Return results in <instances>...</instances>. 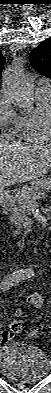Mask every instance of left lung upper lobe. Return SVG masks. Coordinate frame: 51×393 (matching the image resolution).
Returning a JSON list of instances; mask_svg holds the SVG:
<instances>
[{
	"label": "left lung upper lobe",
	"mask_w": 51,
	"mask_h": 393,
	"mask_svg": "<svg viewBox=\"0 0 51 393\" xmlns=\"http://www.w3.org/2000/svg\"><path fill=\"white\" fill-rule=\"evenodd\" d=\"M30 62L37 72L51 79V37L31 51Z\"/></svg>",
	"instance_id": "left-lung-upper-lobe-1"
}]
</instances>
